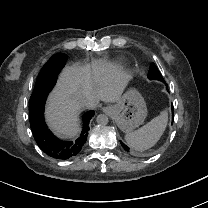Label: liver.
<instances>
[{
  "label": "liver",
  "mask_w": 208,
  "mask_h": 208,
  "mask_svg": "<svg viewBox=\"0 0 208 208\" xmlns=\"http://www.w3.org/2000/svg\"><path fill=\"white\" fill-rule=\"evenodd\" d=\"M130 77L111 64L97 61L92 67H70L61 76L57 91L50 98L48 120L58 133L75 135L79 128L77 112L82 106L95 107L99 100L106 103L118 102ZM90 101L79 103L78 94Z\"/></svg>",
  "instance_id": "6515ba94"
}]
</instances>
